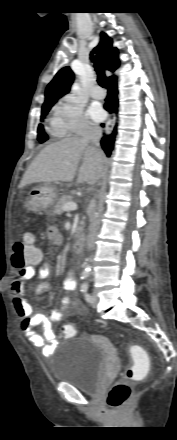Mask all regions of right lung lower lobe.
Segmentation results:
<instances>
[{
    "label": "right lung lower lobe",
    "instance_id": "right-lung-lower-lobe-1",
    "mask_svg": "<svg viewBox=\"0 0 177 440\" xmlns=\"http://www.w3.org/2000/svg\"><path fill=\"white\" fill-rule=\"evenodd\" d=\"M108 85H109V90H108V95L105 99L106 103L104 105V108L109 112L117 113V107H118L117 77L112 76L110 79H108ZM102 126H104V124H102ZM116 133L117 131L115 127L110 135L104 136L101 140V146L108 157L110 156L111 151L113 149Z\"/></svg>",
    "mask_w": 177,
    "mask_h": 440
}]
</instances>
